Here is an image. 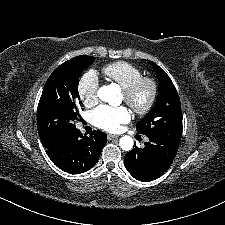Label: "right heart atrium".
<instances>
[{
	"mask_svg": "<svg viewBox=\"0 0 225 225\" xmlns=\"http://www.w3.org/2000/svg\"><path fill=\"white\" fill-rule=\"evenodd\" d=\"M78 96L85 106L91 107L98 102L99 79L94 70H88L78 82Z\"/></svg>",
	"mask_w": 225,
	"mask_h": 225,
	"instance_id": "1",
	"label": "right heart atrium"
}]
</instances>
